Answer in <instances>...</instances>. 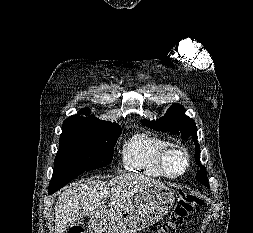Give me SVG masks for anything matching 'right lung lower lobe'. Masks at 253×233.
Returning <instances> with one entry per match:
<instances>
[{
	"instance_id": "obj_1",
	"label": "right lung lower lobe",
	"mask_w": 253,
	"mask_h": 233,
	"mask_svg": "<svg viewBox=\"0 0 253 233\" xmlns=\"http://www.w3.org/2000/svg\"><path fill=\"white\" fill-rule=\"evenodd\" d=\"M85 171H78L73 172L68 175L62 176L61 178L51 180L48 193L53 194L57 190H59L61 187L66 185L69 181H71L73 178L77 177L78 175L82 174Z\"/></svg>"
}]
</instances>
